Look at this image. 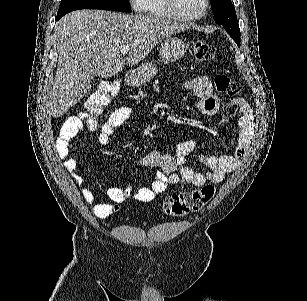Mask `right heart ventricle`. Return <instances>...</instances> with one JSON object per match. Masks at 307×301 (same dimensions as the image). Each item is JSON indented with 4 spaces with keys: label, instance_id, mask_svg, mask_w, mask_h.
I'll list each match as a JSON object with an SVG mask.
<instances>
[{
    "label": "right heart ventricle",
    "instance_id": "right-heart-ventricle-1",
    "mask_svg": "<svg viewBox=\"0 0 307 301\" xmlns=\"http://www.w3.org/2000/svg\"><path fill=\"white\" fill-rule=\"evenodd\" d=\"M164 0H141V8H149L153 17H170V10H162Z\"/></svg>",
    "mask_w": 307,
    "mask_h": 301
}]
</instances>
